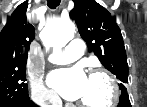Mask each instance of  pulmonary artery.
I'll use <instances>...</instances> for the list:
<instances>
[{
	"label": "pulmonary artery",
	"instance_id": "1",
	"mask_svg": "<svg viewBox=\"0 0 147 107\" xmlns=\"http://www.w3.org/2000/svg\"><path fill=\"white\" fill-rule=\"evenodd\" d=\"M85 45L81 39H74L63 50L55 52L49 61L55 64H67L77 60L84 52Z\"/></svg>",
	"mask_w": 147,
	"mask_h": 107
}]
</instances>
